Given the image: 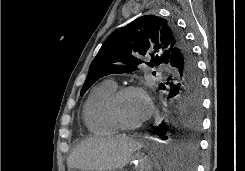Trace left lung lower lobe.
Here are the masks:
<instances>
[{"label":"left lung lower lobe","mask_w":245,"mask_h":171,"mask_svg":"<svg viewBox=\"0 0 245 171\" xmlns=\"http://www.w3.org/2000/svg\"><path fill=\"white\" fill-rule=\"evenodd\" d=\"M168 64L173 67L174 74L167 78L166 86L161 84L160 88L169 91V98L175 97L176 115L172 118V124L197 129L202 109L201 83L189 44L174 52ZM156 132L161 139H166L167 125L161 123ZM174 147L177 154L176 166L193 167V157L198 147L197 138L192 134H181L175 138Z\"/></svg>","instance_id":"obj_1"}]
</instances>
